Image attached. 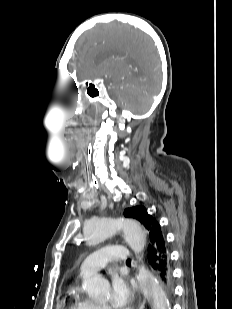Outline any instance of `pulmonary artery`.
<instances>
[{
  "label": "pulmonary artery",
  "mask_w": 232,
  "mask_h": 309,
  "mask_svg": "<svg viewBox=\"0 0 232 309\" xmlns=\"http://www.w3.org/2000/svg\"><path fill=\"white\" fill-rule=\"evenodd\" d=\"M130 255L122 246H106L91 253L80 265L79 274L88 276L104 267L108 261L124 262Z\"/></svg>",
  "instance_id": "e3ab8cb5"
}]
</instances>
